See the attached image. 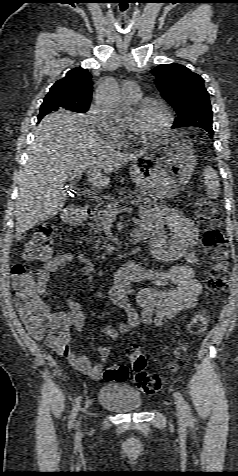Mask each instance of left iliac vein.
<instances>
[{
  "label": "left iliac vein",
  "instance_id": "obj_1",
  "mask_svg": "<svg viewBox=\"0 0 238 476\" xmlns=\"http://www.w3.org/2000/svg\"><path fill=\"white\" fill-rule=\"evenodd\" d=\"M176 414L181 425L185 424V415L178 404H176Z\"/></svg>",
  "mask_w": 238,
  "mask_h": 476
}]
</instances>
